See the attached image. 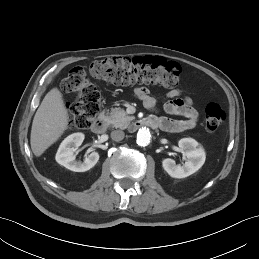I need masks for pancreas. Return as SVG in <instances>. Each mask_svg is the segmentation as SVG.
<instances>
[{"label":"pancreas","mask_w":259,"mask_h":259,"mask_svg":"<svg viewBox=\"0 0 259 259\" xmlns=\"http://www.w3.org/2000/svg\"><path fill=\"white\" fill-rule=\"evenodd\" d=\"M133 119L134 117L128 116L125 110L121 108L111 109V112L106 116L109 124L120 129H126Z\"/></svg>","instance_id":"obj_1"}]
</instances>
